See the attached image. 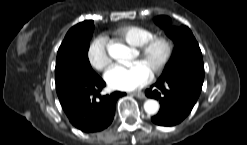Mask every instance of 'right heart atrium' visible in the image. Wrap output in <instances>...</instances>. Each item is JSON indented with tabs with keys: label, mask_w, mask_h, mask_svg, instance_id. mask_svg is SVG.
Instances as JSON below:
<instances>
[{
	"label": "right heart atrium",
	"mask_w": 247,
	"mask_h": 145,
	"mask_svg": "<svg viewBox=\"0 0 247 145\" xmlns=\"http://www.w3.org/2000/svg\"><path fill=\"white\" fill-rule=\"evenodd\" d=\"M87 58L91 66L99 71L106 69L111 64L105 36L99 35L91 41L87 50Z\"/></svg>",
	"instance_id": "d8ad5b80"
}]
</instances>
